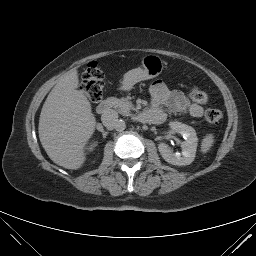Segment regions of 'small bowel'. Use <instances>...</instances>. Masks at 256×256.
Listing matches in <instances>:
<instances>
[{
  "label": "small bowel",
  "instance_id": "c3829d8e",
  "mask_svg": "<svg viewBox=\"0 0 256 256\" xmlns=\"http://www.w3.org/2000/svg\"><path fill=\"white\" fill-rule=\"evenodd\" d=\"M152 106L148 113L152 122L160 123L165 119L163 107L172 113L188 114L194 118H200L204 109L197 103L191 102L181 91L169 89L162 81L152 83L149 89Z\"/></svg>",
  "mask_w": 256,
  "mask_h": 256
}]
</instances>
